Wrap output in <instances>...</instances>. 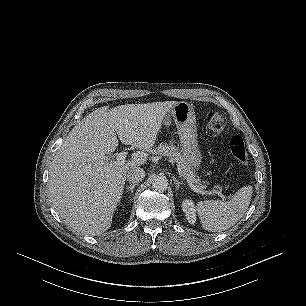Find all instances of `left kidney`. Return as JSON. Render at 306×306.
<instances>
[{
  "mask_svg": "<svg viewBox=\"0 0 306 306\" xmlns=\"http://www.w3.org/2000/svg\"><path fill=\"white\" fill-rule=\"evenodd\" d=\"M182 210L186 216V219L190 224H195L196 222V213L195 205L192 200L186 199L182 202Z\"/></svg>",
  "mask_w": 306,
  "mask_h": 306,
  "instance_id": "5707ae66",
  "label": "left kidney"
}]
</instances>
